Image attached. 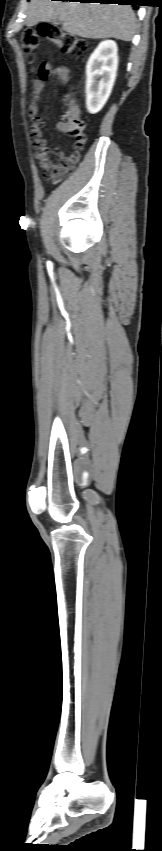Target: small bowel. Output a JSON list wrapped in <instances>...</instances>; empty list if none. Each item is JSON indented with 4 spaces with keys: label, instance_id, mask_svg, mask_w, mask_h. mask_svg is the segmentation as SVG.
<instances>
[{
    "label": "small bowel",
    "instance_id": "small-bowel-1",
    "mask_svg": "<svg viewBox=\"0 0 162 851\" xmlns=\"http://www.w3.org/2000/svg\"><path fill=\"white\" fill-rule=\"evenodd\" d=\"M39 76L33 82V90L31 95V103L29 105V115L31 118V139L35 149V158L38 161V166L45 172V175L52 178L54 171L62 164L69 161L70 157L65 156L60 148H49L47 141L43 139L42 125L43 121L39 116L40 106L39 100L46 86L47 77L57 76L61 82H66L70 76V70L65 65L54 66L51 63L45 62L39 66ZM57 128L63 131V127L58 123ZM51 154L59 161L54 163Z\"/></svg>",
    "mask_w": 162,
    "mask_h": 851
}]
</instances>
